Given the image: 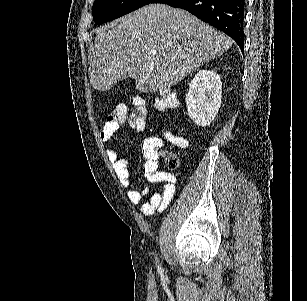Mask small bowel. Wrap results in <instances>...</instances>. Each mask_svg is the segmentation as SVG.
Segmentation results:
<instances>
[{
  "mask_svg": "<svg viewBox=\"0 0 307 301\" xmlns=\"http://www.w3.org/2000/svg\"><path fill=\"white\" fill-rule=\"evenodd\" d=\"M118 124L105 123L100 136L103 142L112 140L118 130ZM163 140L158 136H148L141 144L142 154L145 159L144 174L150 183L160 184L159 191L150 194L147 186L139 189H128L127 198L132 204H140L139 211L144 216H151L155 212H163L171 203L176 192V176L170 172L159 170V149L163 146ZM107 156L113 165L115 174L124 188L130 186L129 160L120 157L114 148L107 149ZM149 197L146 202H142Z\"/></svg>",
  "mask_w": 307,
  "mask_h": 301,
  "instance_id": "small-bowel-1",
  "label": "small bowel"
}]
</instances>
